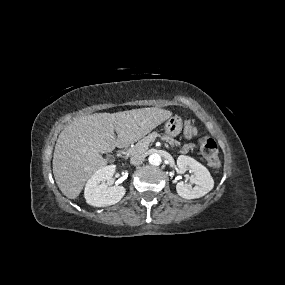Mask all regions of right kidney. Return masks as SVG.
<instances>
[{"instance_id": "ca27d5eb", "label": "right kidney", "mask_w": 285, "mask_h": 285, "mask_svg": "<svg viewBox=\"0 0 285 285\" xmlns=\"http://www.w3.org/2000/svg\"><path fill=\"white\" fill-rule=\"evenodd\" d=\"M116 166L108 165L97 170L87 181L84 196L86 202L94 207H106L118 203L125 195L123 186L108 187L109 181L115 173Z\"/></svg>"}]
</instances>
